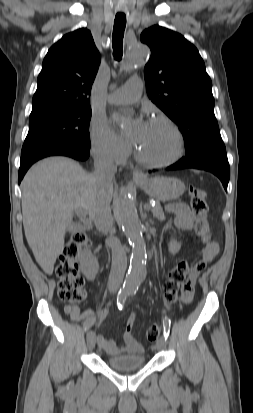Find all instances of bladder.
<instances>
[{"instance_id": "obj_1", "label": "bladder", "mask_w": 253, "mask_h": 413, "mask_svg": "<svg viewBox=\"0 0 253 413\" xmlns=\"http://www.w3.org/2000/svg\"><path fill=\"white\" fill-rule=\"evenodd\" d=\"M108 365L118 371H130L141 368L145 364V357L140 353L111 356Z\"/></svg>"}]
</instances>
